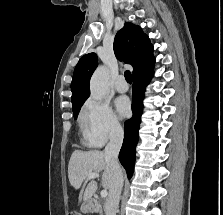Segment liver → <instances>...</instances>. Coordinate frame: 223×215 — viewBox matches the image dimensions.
I'll use <instances>...</instances> for the list:
<instances>
[{"instance_id":"liver-1","label":"liver","mask_w":223,"mask_h":215,"mask_svg":"<svg viewBox=\"0 0 223 215\" xmlns=\"http://www.w3.org/2000/svg\"><path fill=\"white\" fill-rule=\"evenodd\" d=\"M99 171H102L103 187H110L112 181L110 159L109 157H105L103 151H97V149H94V151L75 149L73 151L68 165V177L75 189H78L85 179H89L87 177L88 173H99ZM96 189L97 181H89L84 191V201L85 199H91Z\"/></svg>"}]
</instances>
